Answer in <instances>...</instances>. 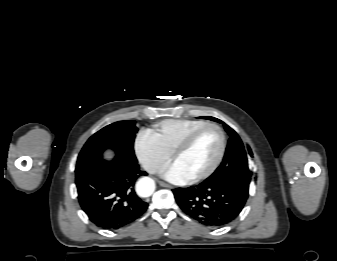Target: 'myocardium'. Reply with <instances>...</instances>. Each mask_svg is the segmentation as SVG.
<instances>
[{"mask_svg": "<svg viewBox=\"0 0 337 261\" xmlns=\"http://www.w3.org/2000/svg\"><path fill=\"white\" fill-rule=\"evenodd\" d=\"M207 129H214L216 130L219 135H220V140H221V144H220V149L218 152V155L216 157V159L214 160V162L210 165V167L208 169H206L204 172L191 177V181L192 182H199L202 181L204 179H207L208 177H210L220 166V164L222 163L225 153H226V148H227V137L226 134L224 132V130L215 123H205L197 128H195L194 130H192L191 132H189L182 140L181 142L176 146V148L173 150L172 152V159L175 160L179 155H181L183 152H185L194 142V140L198 137L199 134H201L203 131L207 130Z\"/></svg>", "mask_w": 337, "mask_h": 261, "instance_id": "1", "label": "myocardium"}]
</instances>
